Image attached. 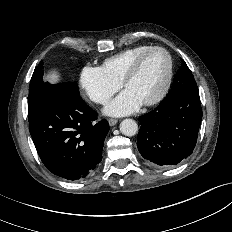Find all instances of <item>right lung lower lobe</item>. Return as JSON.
Here are the masks:
<instances>
[{"label": "right lung lower lobe", "mask_w": 232, "mask_h": 232, "mask_svg": "<svg viewBox=\"0 0 232 232\" xmlns=\"http://www.w3.org/2000/svg\"><path fill=\"white\" fill-rule=\"evenodd\" d=\"M69 84H49L29 114V131L46 168L67 180L87 177L102 160L108 122Z\"/></svg>", "instance_id": "right-lung-lower-lobe-1"}]
</instances>
